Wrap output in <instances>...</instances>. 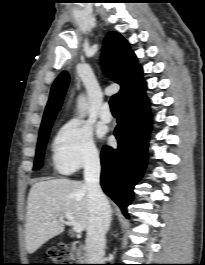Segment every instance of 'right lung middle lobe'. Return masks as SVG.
I'll list each match as a JSON object with an SVG mask.
<instances>
[{
	"label": "right lung middle lobe",
	"instance_id": "right-lung-middle-lobe-1",
	"mask_svg": "<svg viewBox=\"0 0 205 265\" xmlns=\"http://www.w3.org/2000/svg\"><path fill=\"white\" fill-rule=\"evenodd\" d=\"M52 125H49L45 128H43L42 130H40V134H39V140H38V144H37V150H36V157H35V162H34V170L40 169L42 166V159L44 156V150L46 147V142L48 139V135L50 132Z\"/></svg>",
	"mask_w": 205,
	"mask_h": 265
}]
</instances>
